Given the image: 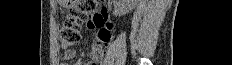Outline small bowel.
<instances>
[{"label":"small bowel","mask_w":232,"mask_h":65,"mask_svg":"<svg viewBox=\"0 0 232 65\" xmlns=\"http://www.w3.org/2000/svg\"><path fill=\"white\" fill-rule=\"evenodd\" d=\"M88 29H98L97 37L106 36L104 42L106 46L112 39V24L109 22L106 11H100L95 13L87 23ZM93 54V52H92ZM76 52L73 49L67 50L62 56L61 65H69V62L75 57ZM81 65V64H76ZM85 65H94L93 62ZM95 65H102V62H95Z\"/></svg>","instance_id":"obj_1"}]
</instances>
